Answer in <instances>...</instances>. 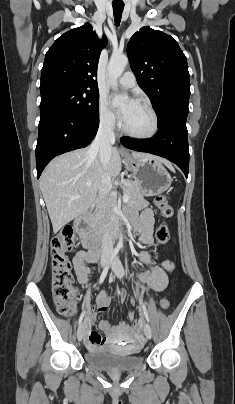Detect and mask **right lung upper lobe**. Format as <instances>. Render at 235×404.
Returning <instances> with one entry per match:
<instances>
[{
  "mask_svg": "<svg viewBox=\"0 0 235 404\" xmlns=\"http://www.w3.org/2000/svg\"><path fill=\"white\" fill-rule=\"evenodd\" d=\"M106 44V37L100 41L89 23L64 33L45 55L40 85L64 82L98 89L97 66Z\"/></svg>",
  "mask_w": 235,
  "mask_h": 404,
  "instance_id": "right-lung-upper-lobe-1",
  "label": "right lung upper lobe"
}]
</instances>
